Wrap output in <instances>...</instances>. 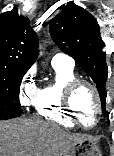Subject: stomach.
I'll return each mask as SVG.
<instances>
[{
	"label": "stomach",
	"mask_w": 114,
	"mask_h": 156,
	"mask_svg": "<svg viewBox=\"0 0 114 156\" xmlns=\"http://www.w3.org/2000/svg\"><path fill=\"white\" fill-rule=\"evenodd\" d=\"M64 156H102L101 149L94 138L86 136L73 144Z\"/></svg>",
	"instance_id": "stomach-1"
}]
</instances>
